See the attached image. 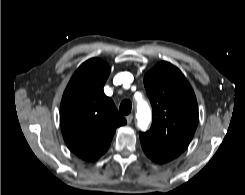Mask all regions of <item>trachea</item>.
Listing matches in <instances>:
<instances>
[{
	"label": "trachea",
	"instance_id": "trachea-1",
	"mask_svg": "<svg viewBox=\"0 0 245 195\" xmlns=\"http://www.w3.org/2000/svg\"><path fill=\"white\" fill-rule=\"evenodd\" d=\"M132 103L129 100H123L120 104L119 110L122 114L128 115L131 112Z\"/></svg>",
	"mask_w": 245,
	"mask_h": 195
}]
</instances>
